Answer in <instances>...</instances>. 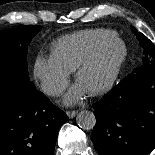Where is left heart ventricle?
I'll use <instances>...</instances> for the list:
<instances>
[{
  "instance_id": "obj_1",
  "label": "left heart ventricle",
  "mask_w": 155,
  "mask_h": 155,
  "mask_svg": "<svg viewBox=\"0 0 155 155\" xmlns=\"http://www.w3.org/2000/svg\"><path fill=\"white\" fill-rule=\"evenodd\" d=\"M121 53L122 48L118 43L105 48L97 61L82 74L79 85L86 91L103 85L112 75Z\"/></svg>"
}]
</instances>
